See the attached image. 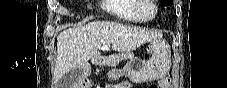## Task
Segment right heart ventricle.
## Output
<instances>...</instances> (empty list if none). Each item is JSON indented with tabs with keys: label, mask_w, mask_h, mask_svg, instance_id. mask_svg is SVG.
<instances>
[{
	"label": "right heart ventricle",
	"mask_w": 227,
	"mask_h": 88,
	"mask_svg": "<svg viewBox=\"0 0 227 88\" xmlns=\"http://www.w3.org/2000/svg\"><path fill=\"white\" fill-rule=\"evenodd\" d=\"M137 0H103L102 8L112 16L132 22L142 19L136 13Z\"/></svg>",
	"instance_id": "e07e8e85"
}]
</instances>
